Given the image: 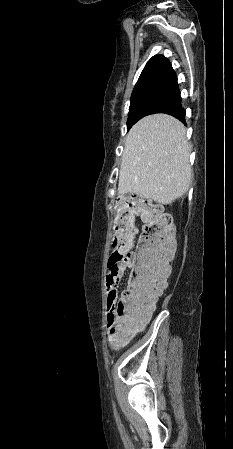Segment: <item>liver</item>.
I'll return each instance as SVG.
<instances>
[{
	"label": "liver",
	"instance_id": "1",
	"mask_svg": "<svg viewBox=\"0 0 233 449\" xmlns=\"http://www.w3.org/2000/svg\"><path fill=\"white\" fill-rule=\"evenodd\" d=\"M186 129L176 118L154 114L138 121L126 136L118 193H132L168 205L192 182Z\"/></svg>",
	"mask_w": 233,
	"mask_h": 449
}]
</instances>
